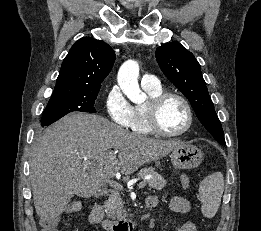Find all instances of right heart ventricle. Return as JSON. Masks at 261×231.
<instances>
[{
    "label": "right heart ventricle",
    "instance_id": "1",
    "mask_svg": "<svg viewBox=\"0 0 261 231\" xmlns=\"http://www.w3.org/2000/svg\"><path fill=\"white\" fill-rule=\"evenodd\" d=\"M149 98H153L163 92L161 86L158 88H144ZM131 130L140 135H151L152 130L146 121L145 104H138L132 107Z\"/></svg>",
    "mask_w": 261,
    "mask_h": 231
}]
</instances>
